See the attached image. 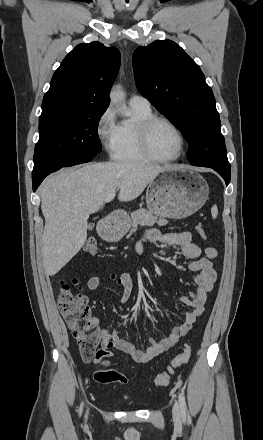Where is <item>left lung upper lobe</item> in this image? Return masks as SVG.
<instances>
[{
  "instance_id": "left-lung-upper-lobe-1",
  "label": "left lung upper lobe",
  "mask_w": 263,
  "mask_h": 440,
  "mask_svg": "<svg viewBox=\"0 0 263 440\" xmlns=\"http://www.w3.org/2000/svg\"><path fill=\"white\" fill-rule=\"evenodd\" d=\"M136 86L189 143L193 166L230 168L211 88L200 67L171 40H157L133 53Z\"/></svg>"
}]
</instances>
